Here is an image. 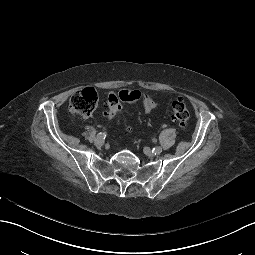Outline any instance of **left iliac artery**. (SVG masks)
I'll return each mask as SVG.
<instances>
[{"label":"left iliac artery","instance_id":"obj_1","mask_svg":"<svg viewBox=\"0 0 255 255\" xmlns=\"http://www.w3.org/2000/svg\"><path fill=\"white\" fill-rule=\"evenodd\" d=\"M153 152L156 154H160L162 152V148L159 146V147H156L153 149Z\"/></svg>","mask_w":255,"mask_h":255}]
</instances>
